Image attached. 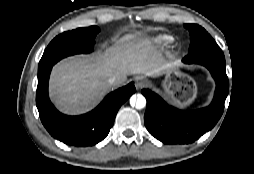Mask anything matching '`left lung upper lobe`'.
<instances>
[{"mask_svg":"<svg viewBox=\"0 0 254 174\" xmlns=\"http://www.w3.org/2000/svg\"><path fill=\"white\" fill-rule=\"evenodd\" d=\"M190 33V47L185 61L213 60L225 63L222 50L207 33V31L196 24H185Z\"/></svg>","mask_w":254,"mask_h":174,"instance_id":"obj_1","label":"left lung upper lobe"}]
</instances>
